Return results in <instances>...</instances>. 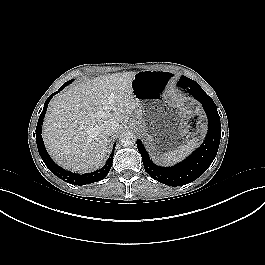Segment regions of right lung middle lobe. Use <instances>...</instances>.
Listing matches in <instances>:
<instances>
[{
    "instance_id": "obj_1",
    "label": "right lung middle lobe",
    "mask_w": 265,
    "mask_h": 265,
    "mask_svg": "<svg viewBox=\"0 0 265 265\" xmlns=\"http://www.w3.org/2000/svg\"><path fill=\"white\" fill-rule=\"evenodd\" d=\"M72 81H73V80H69V81H67V82H65V83H66V85H68V84H70ZM65 83H64V84H65Z\"/></svg>"
}]
</instances>
